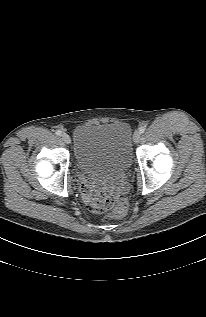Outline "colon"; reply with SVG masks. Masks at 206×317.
I'll list each match as a JSON object with an SVG mask.
<instances>
[{
    "mask_svg": "<svg viewBox=\"0 0 206 317\" xmlns=\"http://www.w3.org/2000/svg\"><path fill=\"white\" fill-rule=\"evenodd\" d=\"M86 202L90 210L96 214L110 212L114 218H122L128 211V202L124 197H112L100 188L84 189Z\"/></svg>",
    "mask_w": 206,
    "mask_h": 317,
    "instance_id": "obj_1",
    "label": "colon"
}]
</instances>
